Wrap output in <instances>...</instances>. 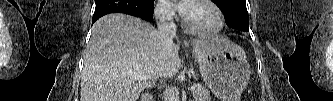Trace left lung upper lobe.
Segmentation results:
<instances>
[{"label":"left lung upper lobe","mask_w":333,"mask_h":101,"mask_svg":"<svg viewBox=\"0 0 333 101\" xmlns=\"http://www.w3.org/2000/svg\"><path fill=\"white\" fill-rule=\"evenodd\" d=\"M223 12L229 27L249 31V17L245 0H212Z\"/></svg>","instance_id":"obj_1"}]
</instances>
